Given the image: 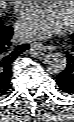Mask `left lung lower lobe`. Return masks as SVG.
<instances>
[{"mask_svg": "<svg viewBox=\"0 0 74 122\" xmlns=\"http://www.w3.org/2000/svg\"><path fill=\"white\" fill-rule=\"evenodd\" d=\"M74 45V34L72 35ZM67 66L64 71L55 77L59 89L63 93L74 95V46L66 53Z\"/></svg>", "mask_w": 74, "mask_h": 122, "instance_id": "1", "label": "left lung lower lobe"}]
</instances>
